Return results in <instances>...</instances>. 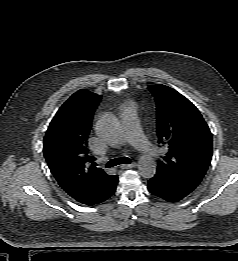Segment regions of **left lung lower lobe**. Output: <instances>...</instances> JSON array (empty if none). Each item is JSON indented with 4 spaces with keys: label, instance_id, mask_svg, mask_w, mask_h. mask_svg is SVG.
I'll return each instance as SVG.
<instances>
[{
    "label": "left lung lower lobe",
    "instance_id": "1",
    "mask_svg": "<svg viewBox=\"0 0 238 261\" xmlns=\"http://www.w3.org/2000/svg\"><path fill=\"white\" fill-rule=\"evenodd\" d=\"M148 190L153 195L168 202H177L185 198L191 192L178 186L173 181L155 174L148 181Z\"/></svg>",
    "mask_w": 238,
    "mask_h": 261
}]
</instances>
